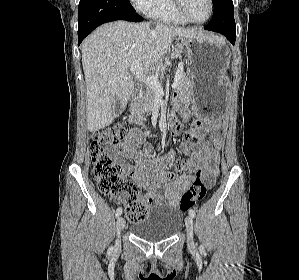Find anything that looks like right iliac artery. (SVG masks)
Instances as JSON below:
<instances>
[{"label":"right iliac artery","instance_id":"82829eb1","mask_svg":"<svg viewBox=\"0 0 299 280\" xmlns=\"http://www.w3.org/2000/svg\"><path fill=\"white\" fill-rule=\"evenodd\" d=\"M121 214H122V208L119 207V208H117V210H116V217L120 216Z\"/></svg>","mask_w":299,"mask_h":280}]
</instances>
